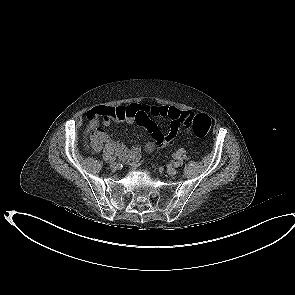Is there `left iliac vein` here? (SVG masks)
<instances>
[{"label": "left iliac vein", "instance_id": "1", "mask_svg": "<svg viewBox=\"0 0 295 295\" xmlns=\"http://www.w3.org/2000/svg\"><path fill=\"white\" fill-rule=\"evenodd\" d=\"M167 173H168L170 176H174V175L177 174V170H176L175 168H173V167H169V168L167 169Z\"/></svg>", "mask_w": 295, "mask_h": 295}]
</instances>
